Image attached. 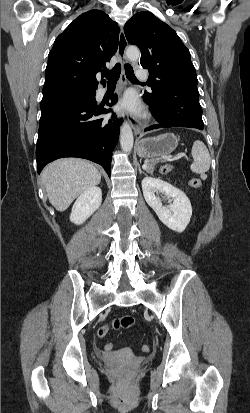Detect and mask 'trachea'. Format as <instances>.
Returning a JSON list of instances; mask_svg holds the SVG:
<instances>
[{"label":"trachea","mask_w":250,"mask_h":413,"mask_svg":"<svg viewBox=\"0 0 250 413\" xmlns=\"http://www.w3.org/2000/svg\"><path fill=\"white\" fill-rule=\"evenodd\" d=\"M121 72V65L117 63L113 69L104 71L103 74L108 80V83H117ZM126 77L133 83H139L134 75L133 68L129 64H125Z\"/></svg>","instance_id":"trachea-1"}]
</instances>
